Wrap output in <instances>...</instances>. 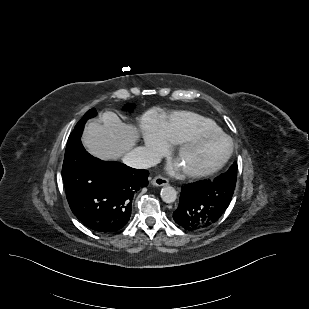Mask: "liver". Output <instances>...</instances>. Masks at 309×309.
Wrapping results in <instances>:
<instances>
[{"label": "liver", "mask_w": 309, "mask_h": 309, "mask_svg": "<svg viewBox=\"0 0 309 309\" xmlns=\"http://www.w3.org/2000/svg\"><path fill=\"white\" fill-rule=\"evenodd\" d=\"M139 139L138 129L123 123L113 112H104L101 123L90 122L82 138L84 146L102 160H116L128 153Z\"/></svg>", "instance_id": "1"}]
</instances>
